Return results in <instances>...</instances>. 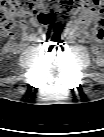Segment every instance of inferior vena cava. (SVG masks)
I'll use <instances>...</instances> for the list:
<instances>
[{
  "mask_svg": "<svg viewBox=\"0 0 104 137\" xmlns=\"http://www.w3.org/2000/svg\"><path fill=\"white\" fill-rule=\"evenodd\" d=\"M38 43L41 47H47L49 45V40L46 35H40L38 37Z\"/></svg>",
  "mask_w": 104,
  "mask_h": 137,
  "instance_id": "1",
  "label": "inferior vena cava"
}]
</instances>
